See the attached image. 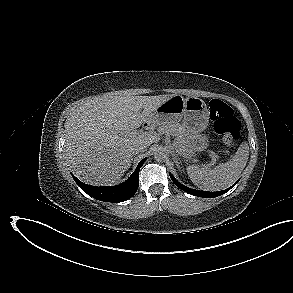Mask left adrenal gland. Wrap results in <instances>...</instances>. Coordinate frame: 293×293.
<instances>
[{
    "label": "left adrenal gland",
    "instance_id": "a2214340",
    "mask_svg": "<svg viewBox=\"0 0 293 293\" xmlns=\"http://www.w3.org/2000/svg\"><path fill=\"white\" fill-rule=\"evenodd\" d=\"M172 157H173V159H174L176 165H177L178 168H179V162H178L179 156L176 154L175 151H172Z\"/></svg>",
    "mask_w": 293,
    "mask_h": 293
}]
</instances>
